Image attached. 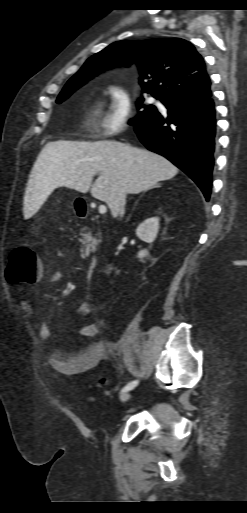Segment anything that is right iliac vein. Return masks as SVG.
<instances>
[{"mask_svg":"<svg viewBox=\"0 0 247 513\" xmlns=\"http://www.w3.org/2000/svg\"><path fill=\"white\" fill-rule=\"evenodd\" d=\"M130 398V392H125L120 396L121 402H126Z\"/></svg>","mask_w":247,"mask_h":513,"instance_id":"right-iliac-vein-1","label":"right iliac vein"}]
</instances>
